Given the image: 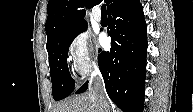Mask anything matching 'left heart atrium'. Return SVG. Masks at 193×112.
Returning a JSON list of instances; mask_svg holds the SVG:
<instances>
[{"mask_svg": "<svg viewBox=\"0 0 193 112\" xmlns=\"http://www.w3.org/2000/svg\"><path fill=\"white\" fill-rule=\"evenodd\" d=\"M106 43H107V39H106V37H101L100 38V44L102 45V46H104V45H106Z\"/></svg>", "mask_w": 193, "mask_h": 112, "instance_id": "obj_1", "label": "left heart atrium"}]
</instances>
